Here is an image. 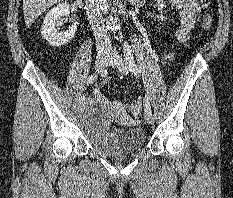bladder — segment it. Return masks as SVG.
<instances>
[{
	"label": "bladder",
	"mask_w": 233,
	"mask_h": 198,
	"mask_svg": "<svg viewBox=\"0 0 233 198\" xmlns=\"http://www.w3.org/2000/svg\"><path fill=\"white\" fill-rule=\"evenodd\" d=\"M79 125L90 145L107 157L130 156L146 144V131L142 127L111 128L108 110L100 102L84 108Z\"/></svg>",
	"instance_id": "obj_1"
}]
</instances>
